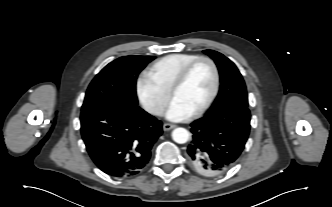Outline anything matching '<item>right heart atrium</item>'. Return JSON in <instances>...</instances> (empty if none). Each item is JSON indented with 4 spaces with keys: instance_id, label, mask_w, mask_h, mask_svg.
Instances as JSON below:
<instances>
[{
    "instance_id": "1",
    "label": "right heart atrium",
    "mask_w": 332,
    "mask_h": 207,
    "mask_svg": "<svg viewBox=\"0 0 332 207\" xmlns=\"http://www.w3.org/2000/svg\"><path fill=\"white\" fill-rule=\"evenodd\" d=\"M136 88L144 109L153 116L161 115L169 101V92L161 88L147 74L138 78Z\"/></svg>"
}]
</instances>
